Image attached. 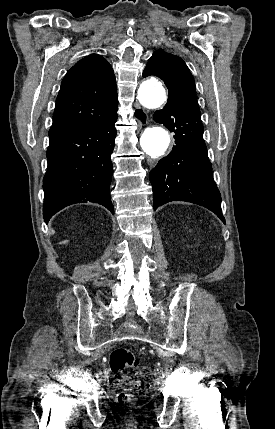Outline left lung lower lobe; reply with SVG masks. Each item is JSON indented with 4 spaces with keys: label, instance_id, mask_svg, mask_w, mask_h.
Instances as JSON below:
<instances>
[{
    "label": "left lung lower lobe",
    "instance_id": "1",
    "mask_svg": "<svg viewBox=\"0 0 275 429\" xmlns=\"http://www.w3.org/2000/svg\"><path fill=\"white\" fill-rule=\"evenodd\" d=\"M154 120L175 134L176 145L150 171L153 209L170 201H187L208 208L225 224L221 195L203 140L199 106L184 99H169L155 112Z\"/></svg>",
    "mask_w": 275,
    "mask_h": 429
}]
</instances>
